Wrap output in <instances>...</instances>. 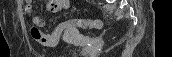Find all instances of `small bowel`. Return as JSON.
<instances>
[{
    "instance_id": "c3829d8e",
    "label": "small bowel",
    "mask_w": 172,
    "mask_h": 57,
    "mask_svg": "<svg viewBox=\"0 0 172 57\" xmlns=\"http://www.w3.org/2000/svg\"><path fill=\"white\" fill-rule=\"evenodd\" d=\"M27 2V7L29 8L31 11V14L28 15L25 12V16L27 18H31L33 17V22H34V27H32L31 29V34L32 37L38 41L40 44L46 46V47H54L57 45L58 40L61 36V33H57V32H53L52 34H44L41 31L42 26H44L46 24V18L42 15H33V10L30 6V2L31 1H26ZM68 5V1H64V0H52L49 1L46 4V7L48 9H51V11H61L62 9L66 8Z\"/></svg>"
}]
</instances>
